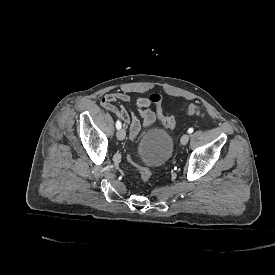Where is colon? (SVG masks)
<instances>
[{
  "label": "colon",
  "mask_w": 275,
  "mask_h": 275,
  "mask_svg": "<svg viewBox=\"0 0 275 275\" xmlns=\"http://www.w3.org/2000/svg\"><path fill=\"white\" fill-rule=\"evenodd\" d=\"M146 101H148L150 104H154V109L157 111V117L160 121V125L164 128H172L176 124V118L169 116L166 117L162 114V109H161V103L164 102L165 97L164 95L158 93V92H151L146 94L145 96ZM188 113L191 115H195L198 117L206 118L207 113L206 111L199 107V106H194L191 105L188 108ZM133 166L137 169L138 174H139V179L142 182H148L151 179V171L149 168L143 164V163H137L133 162Z\"/></svg>",
  "instance_id": "colon-1"
}]
</instances>
